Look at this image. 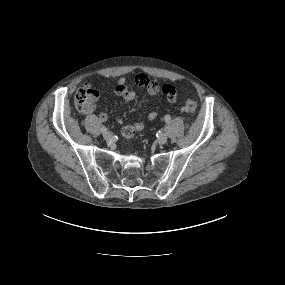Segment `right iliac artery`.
I'll list each match as a JSON object with an SVG mask.
<instances>
[{"mask_svg": "<svg viewBox=\"0 0 285 285\" xmlns=\"http://www.w3.org/2000/svg\"><path fill=\"white\" fill-rule=\"evenodd\" d=\"M106 131H107L106 127H102V128H101V132H102V133H104V132H106Z\"/></svg>", "mask_w": 285, "mask_h": 285, "instance_id": "1", "label": "right iliac artery"}]
</instances>
